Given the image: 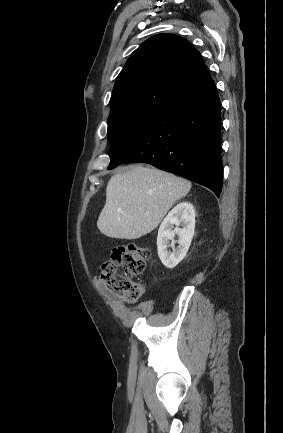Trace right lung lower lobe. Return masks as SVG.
Masks as SVG:
<instances>
[{
  "instance_id": "1",
  "label": "right lung lower lobe",
  "mask_w": 283,
  "mask_h": 433,
  "mask_svg": "<svg viewBox=\"0 0 283 433\" xmlns=\"http://www.w3.org/2000/svg\"><path fill=\"white\" fill-rule=\"evenodd\" d=\"M221 109L215 84L168 106L111 158L108 169L122 163H148L211 189L222 190Z\"/></svg>"
}]
</instances>
